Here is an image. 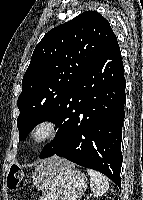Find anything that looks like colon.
<instances>
[{
	"mask_svg": "<svg viewBox=\"0 0 143 200\" xmlns=\"http://www.w3.org/2000/svg\"><path fill=\"white\" fill-rule=\"evenodd\" d=\"M23 178V171L16 165L10 167L7 176V186L9 189H15Z\"/></svg>",
	"mask_w": 143,
	"mask_h": 200,
	"instance_id": "1",
	"label": "colon"
}]
</instances>
